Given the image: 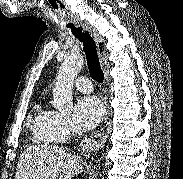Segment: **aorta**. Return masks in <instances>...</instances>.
Masks as SVG:
<instances>
[{
    "label": "aorta",
    "instance_id": "aorta-1",
    "mask_svg": "<svg viewBox=\"0 0 183 179\" xmlns=\"http://www.w3.org/2000/svg\"><path fill=\"white\" fill-rule=\"evenodd\" d=\"M83 64V56H68L59 68L53 89V106L60 112H70L73 108V85Z\"/></svg>",
    "mask_w": 183,
    "mask_h": 179
}]
</instances>
